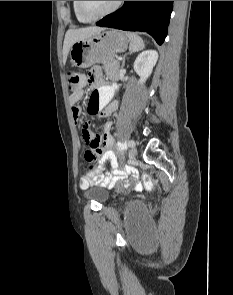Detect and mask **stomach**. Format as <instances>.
<instances>
[{
    "mask_svg": "<svg viewBox=\"0 0 233 295\" xmlns=\"http://www.w3.org/2000/svg\"><path fill=\"white\" fill-rule=\"evenodd\" d=\"M129 43L127 34L120 30H102L71 46V63L78 68H88L95 63H108L118 53L124 52Z\"/></svg>",
    "mask_w": 233,
    "mask_h": 295,
    "instance_id": "1",
    "label": "stomach"
}]
</instances>
